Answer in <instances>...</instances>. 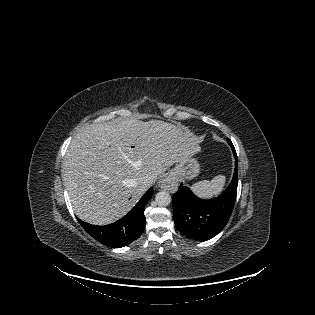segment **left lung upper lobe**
I'll return each instance as SVG.
<instances>
[{"label": "left lung upper lobe", "mask_w": 315, "mask_h": 315, "mask_svg": "<svg viewBox=\"0 0 315 315\" xmlns=\"http://www.w3.org/2000/svg\"><path fill=\"white\" fill-rule=\"evenodd\" d=\"M230 143H232V142L230 141ZM229 145H230V144H229ZM230 146H231L232 151H233V148H234L233 144H231ZM234 150H235V148H234Z\"/></svg>", "instance_id": "obj_1"}]
</instances>
